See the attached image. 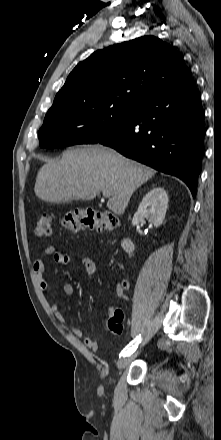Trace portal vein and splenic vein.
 <instances>
[{
  "label": "portal vein and splenic vein",
  "mask_w": 221,
  "mask_h": 440,
  "mask_svg": "<svg viewBox=\"0 0 221 440\" xmlns=\"http://www.w3.org/2000/svg\"><path fill=\"white\" fill-rule=\"evenodd\" d=\"M103 196L109 197V194L107 192H103Z\"/></svg>",
  "instance_id": "obj_1"
}]
</instances>
